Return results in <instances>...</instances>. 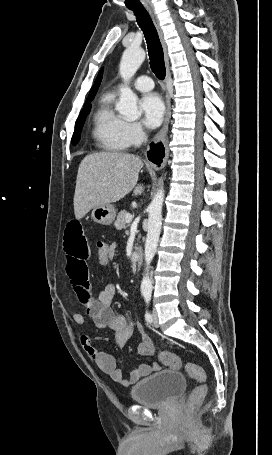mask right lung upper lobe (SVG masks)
Listing matches in <instances>:
<instances>
[{
  "label": "right lung upper lobe",
  "mask_w": 272,
  "mask_h": 455,
  "mask_svg": "<svg viewBox=\"0 0 272 455\" xmlns=\"http://www.w3.org/2000/svg\"><path fill=\"white\" fill-rule=\"evenodd\" d=\"M102 75H103V68L100 70V72H99V74H98V76L96 78V81H95L92 89L90 90V93H89V96H88L86 102L90 101V100H93V98H94L95 94L97 93V90H98V88L100 86V83H101V80H102Z\"/></svg>",
  "instance_id": "right-lung-upper-lobe-1"
}]
</instances>
